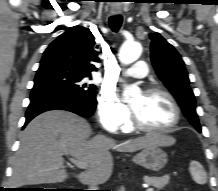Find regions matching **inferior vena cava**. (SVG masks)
I'll list each match as a JSON object with an SVG mask.
<instances>
[{
  "instance_id": "1",
  "label": "inferior vena cava",
  "mask_w": 218,
  "mask_h": 191,
  "mask_svg": "<svg viewBox=\"0 0 218 191\" xmlns=\"http://www.w3.org/2000/svg\"><path fill=\"white\" fill-rule=\"evenodd\" d=\"M98 179L96 176H93L91 181L89 182L90 190H98Z\"/></svg>"
}]
</instances>
